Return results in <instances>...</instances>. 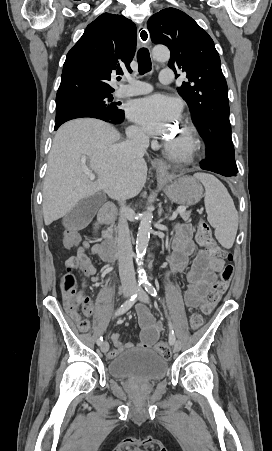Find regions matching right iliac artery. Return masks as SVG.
I'll return each mask as SVG.
<instances>
[{"instance_id": "82829eb1", "label": "right iliac artery", "mask_w": 272, "mask_h": 451, "mask_svg": "<svg viewBox=\"0 0 272 451\" xmlns=\"http://www.w3.org/2000/svg\"><path fill=\"white\" fill-rule=\"evenodd\" d=\"M143 283L144 282H139V284L137 286V290L135 291V293L121 305V307L115 312V316H119V315L125 313L126 311H128L134 305V303L137 301L139 292L142 289V284ZM102 342H103V337H100L97 340V344L100 346L102 344Z\"/></svg>"}]
</instances>
